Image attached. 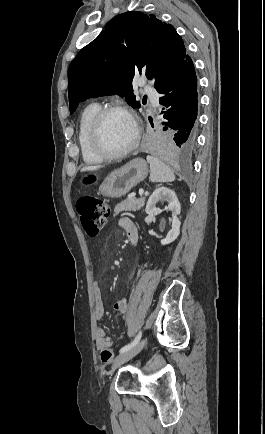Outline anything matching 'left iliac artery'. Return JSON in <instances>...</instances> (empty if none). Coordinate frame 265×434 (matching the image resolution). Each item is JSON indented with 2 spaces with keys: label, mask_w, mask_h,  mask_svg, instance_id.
I'll use <instances>...</instances> for the list:
<instances>
[{
  "label": "left iliac artery",
  "mask_w": 265,
  "mask_h": 434,
  "mask_svg": "<svg viewBox=\"0 0 265 434\" xmlns=\"http://www.w3.org/2000/svg\"><path fill=\"white\" fill-rule=\"evenodd\" d=\"M141 335H142V333H141V331H140V332L138 333V335L136 336V338H135L131 343H129V344L123 346V347L120 349V353H123V352H125V351H128L129 349H131L132 347H134L136 344H138V342L140 341Z\"/></svg>",
  "instance_id": "44dca946"
}]
</instances>
